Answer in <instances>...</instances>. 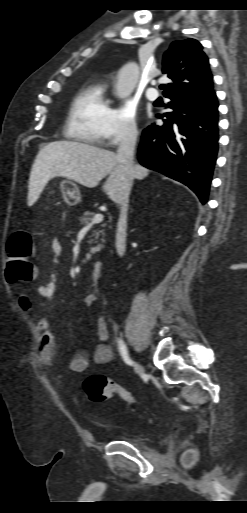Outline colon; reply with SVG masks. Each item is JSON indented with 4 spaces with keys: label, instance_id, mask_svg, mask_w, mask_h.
Masks as SVG:
<instances>
[{
    "label": "colon",
    "instance_id": "1",
    "mask_svg": "<svg viewBox=\"0 0 247 513\" xmlns=\"http://www.w3.org/2000/svg\"><path fill=\"white\" fill-rule=\"evenodd\" d=\"M32 236L29 232L14 233L7 245L8 263L5 271L6 279L10 283L31 280L34 276V263L32 258ZM83 388L89 401L103 403L114 396H118L129 405H135V395L118 385L104 374H92L83 383ZM189 464V459H185Z\"/></svg>",
    "mask_w": 247,
    "mask_h": 513
}]
</instances>
